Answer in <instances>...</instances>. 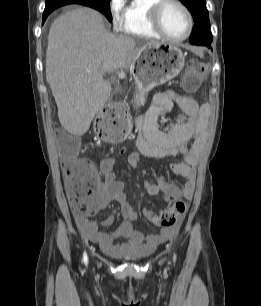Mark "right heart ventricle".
Returning a JSON list of instances; mask_svg holds the SVG:
<instances>
[{
  "label": "right heart ventricle",
  "mask_w": 261,
  "mask_h": 306,
  "mask_svg": "<svg viewBox=\"0 0 261 306\" xmlns=\"http://www.w3.org/2000/svg\"><path fill=\"white\" fill-rule=\"evenodd\" d=\"M156 2L157 0H130L124 4L121 31L145 39L160 38L149 19V10Z\"/></svg>",
  "instance_id": "right-heart-ventricle-1"
}]
</instances>
